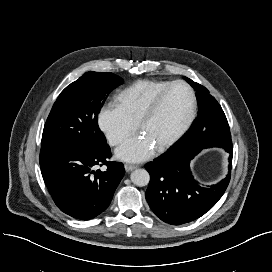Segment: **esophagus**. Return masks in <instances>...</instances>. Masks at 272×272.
I'll return each instance as SVG.
<instances>
[{
  "mask_svg": "<svg viewBox=\"0 0 272 272\" xmlns=\"http://www.w3.org/2000/svg\"><path fill=\"white\" fill-rule=\"evenodd\" d=\"M124 167H125V170H126L127 172H130V171H132V170L138 168V165H134V164H125Z\"/></svg>",
  "mask_w": 272,
  "mask_h": 272,
  "instance_id": "34e87169",
  "label": "esophagus"
}]
</instances>
